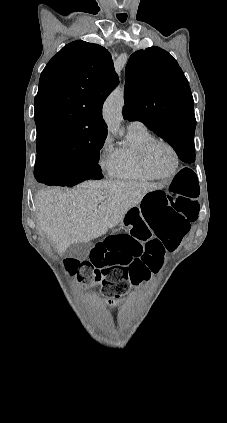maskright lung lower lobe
I'll use <instances>...</instances> for the list:
<instances>
[{
    "mask_svg": "<svg viewBox=\"0 0 227 423\" xmlns=\"http://www.w3.org/2000/svg\"><path fill=\"white\" fill-rule=\"evenodd\" d=\"M34 176L40 183L52 186H74L82 181V178L69 173L56 162L40 160L36 161Z\"/></svg>",
    "mask_w": 227,
    "mask_h": 423,
    "instance_id": "1",
    "label": "right lung lower lobe"
}]
</instances>
